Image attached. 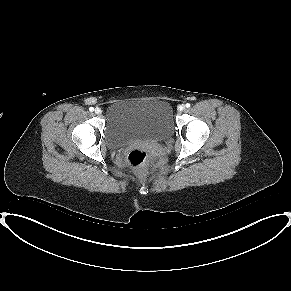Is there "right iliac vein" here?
I'll return each mask as SVG.
<instances>
[{"mask_svg": "<svg viewBox=\"0 0 291 291\" xmlns=\"http://www.w3.org/2000/svg\"><path fill=\"white\" fill-rule=\"evenodd\" d=\"M95 113L98 114V115H100L102 113V110L100 108H96L95 109Z\"/></svg>", "mask_w": 291, "mask_h": 291, "instance_id": "right-iliac-vein-1", "label": "right iliac vein"}]
</instances>
